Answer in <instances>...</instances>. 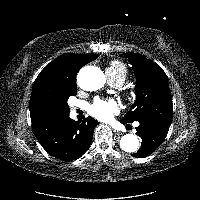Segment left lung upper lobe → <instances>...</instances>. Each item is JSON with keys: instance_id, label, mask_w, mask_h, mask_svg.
<instances>
[{"instance_id": "1", "label": "left lung upper lobe", "mask_w": 200, "mask_h": 200, "mask_svg": "<svg viewBox=\"0 0 200 200\" xmlns=\"http://www.w3.org/2000/svg\"><path fill=\"white\" fill-rule=\"evenodd\" d=\"M136 76V100L122 118L123 121L155 120L171 123L173 117L172 96L163 69L138 53L125 54Z\"/></svg>"}]
</instances>
